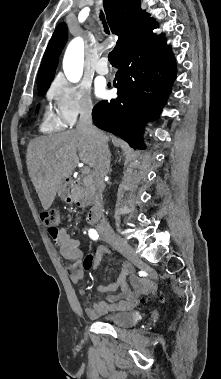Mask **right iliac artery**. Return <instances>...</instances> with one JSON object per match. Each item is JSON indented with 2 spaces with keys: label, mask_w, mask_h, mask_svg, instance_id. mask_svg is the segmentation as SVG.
I'll list each match as a JSON object with an SVG mask.
<instances>
[{
  "label": "right iliac artery",
  "mask_w": 221,
  "mask_h": 379,
  "mask_svg": "<svg viewBox=\"0 0 221 379\" xmlns=\"http://www.w3.org/2000/svg\"><path fill=\"white\" fill-rule=\"evenodd\" d=\"M89 237L93 240H97L99 235L95 229H90L89 230Z\"/></svg>",
  "instance_id": "82829eb1"
}]
</instances>
